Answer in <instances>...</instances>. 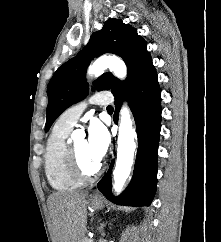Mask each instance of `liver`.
<instances>
[{
    "label": "liver",
    "instance_id": "obj_1",
    "mask_svg": "<svg viewBox=\"0 0 221 242\" xmlns=\"http://www.w3.org/2000/svg\"><path fill=\"white\" fill-rule=\"evenodd\" d=\"M87 197V192H60L49 196L53 242H83L87 223Z\"/></svg>",
    "mask_w": 221,
    "mask_h": 242
}]
</instances>
